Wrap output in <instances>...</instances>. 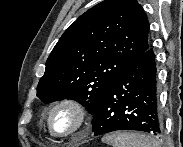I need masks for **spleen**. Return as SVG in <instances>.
Wrapping results in <instances>:
<instances>
[{"label": "spleen", "instance_id": "1", "mask_svg": "<svg viewBox=\"0 0 183 147\" xmlns=\"http://www.w3.org/2000/svg\"><path fill=\"white\" fill-rule=\"evenodd\" d=\"M102 141L112 147H160L153 138L135 132H114L104 136Z\"/></svg>", "mask_w": 183, "mask_h": 147}]
</instances>
